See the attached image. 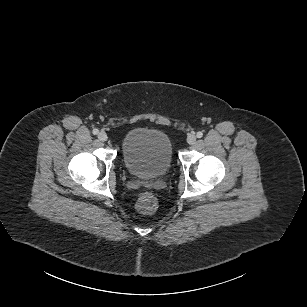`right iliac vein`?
I'll return each mask as SVG.
<instances>
[{
	"label": "right iliac vein",
	"mask_w": 307,
	"mask_h": 307,
	"mask_svg": "<svg viewBox=\"0 0 307 307\" xmlns=\"http://www.w3.org/2000/svg\"><path fill=\"white\" fill-rule=\"evenodd\" d=\"M107 134L103 131H101L99 134H98V139L102 142H105L107 140Z\"/></svg>",
	"instance_id": "right-iliac-vein-1"
}]
</instances>
